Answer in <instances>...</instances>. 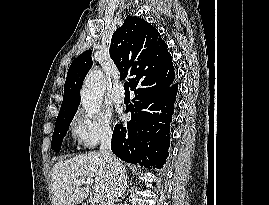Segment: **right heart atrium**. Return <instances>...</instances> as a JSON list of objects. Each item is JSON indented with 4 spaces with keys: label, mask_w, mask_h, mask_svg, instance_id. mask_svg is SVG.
Masks as SVG:
<instances>
[{
    "label": "right heart atrium",
    "mask_w": 269,
    "mask_h": 205,
    "mask_svg": "<svg viewBox=\"0 0 269 205\" xmlns=\"http://www.w3.org/2000/svg\"><path fill=\"white\" fill-rule=\"evenodd\" d=\"M111 117L103 112L79 111L71 121V133L78 146L94 148L112 138Z\"/></svg>",
    "instance_id": "right-heart-atrium-1"
}]
</instances>
